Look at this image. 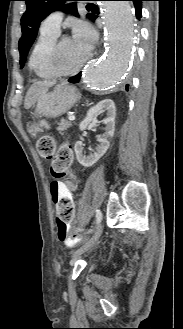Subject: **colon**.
<instances>
[{"label":"colon","instance_id":"5ec220e1","mask_svg":"<svg viewBox=\"0 0 183 329\" xmlns=\"http://www.w3.org/2000/svg\"><path fill=\"white\" fill-rule=\"evenodd\" d=\"M40 126L47 127V124L41 122ZM37 150L40 156L52 159L50 172L54 178L60 180L67 175L73 159L72 149L68 144H64L56 150L55 138L52 135L45 134L39 137ZM72 220L73 218H56L60 241L64 242L69 238L68 228Z\"/></svg>","mask_w":183,"mask_h":329}]
</instances>
